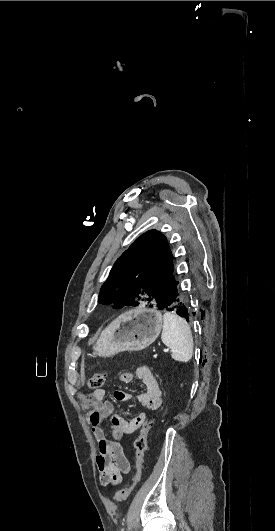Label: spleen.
I'll use <instances>...</instances> for the list:
<instances>
[{"label":"spleen","instance_id":"obj_1","mask_svg":"<svg viewBox=\"0 0 275 531\" xmlns=\"http://www.w3.org/2000/svg\"><path fill=\"white\" fill-rule=\"evenodd\" d=\"M161 339L171 349V357L175 361L187 363L193 355V337L186 321L175 313H164Z\"/></svg>","mask_w":275,"mask_h":531}]
</instances>
